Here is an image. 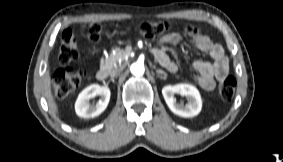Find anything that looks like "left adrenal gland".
Wrapping results in <instances>:
<instances>
[{
  "label": "left adrenal gland",
  "instance_id": "obj_1",
  "mask_svg": "<svg viewBox=\"0 0 283 162\" xmlns=\"http://www.w3.org/2000/svg\"><path fill=\"white\" fill-rule=\"evenodd\" d=\"M156 73H157V74H163L165 77H167L166 72H164V71L161 70V69H156Z\"/></svg>",
  "mask_w": 283,
  "mask_h": 162
}]
</instances>
